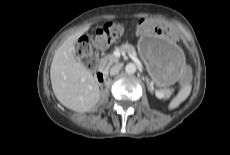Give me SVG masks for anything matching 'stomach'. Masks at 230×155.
I'll return each mask as SVG.
<instances>
[{
	"instance_id": "0dacf381",
	"label": "stomach",
	"mask_w": 230,
	"mask_h": 155,
	"mask_svg": "<svg viewBox=\"0 0 230 155\" xmlns=\"http://www.w3.org/2000/svg\"><path fill=\"white\" fill-rule=\"evenodd\" d=\"M137 48L157 88L164 92L177 82L185 68V55L177 44L165 40L163 34L152 33L142 36Z\"/></svg>"
}]
</instances>
